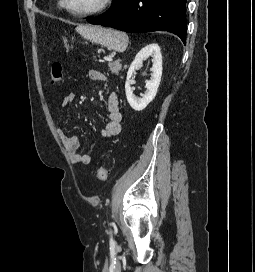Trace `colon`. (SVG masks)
I'll use <instances>...</instances> for the list:
<instances>
[{
    "instance_id": "colon-1",
    "label": "colon",
    "mask_w": 255,
    "mask_h": 272,
    "mask_svg": "<svg viewBox=\"0 0 255 272\" xmlns=\"http://www.w3.org/2000/svg\"><path fill=\"white\" fill-rule=\"evenodd\" d=\"M49 80L51 84H61L63 81L62 65L60 63H53L50 69ZM109 171L105 166H100L97 169V178L100 181H105L108 178Z\"/></svg>"
}]
</instances>
